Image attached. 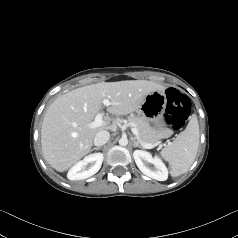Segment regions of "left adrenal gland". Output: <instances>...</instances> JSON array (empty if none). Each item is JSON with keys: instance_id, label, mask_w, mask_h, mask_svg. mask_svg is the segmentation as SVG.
<instances>
[{"instance_id": "a2214340", "label": "left adrenal gland", "mask_w": 238, "mask_h": 238, "mask_svg": "<svg viewBox=\"0 0 238 238\" xmlns=\"http://www.w3.org/2000/svg\"><path fill=\"white\" fill-rule=\"evenodd\" d=\"M133 142H134V144H133L134 147L142 148V146L136 141L135 138L133 139Z\"/></svg>"}]
</instances>
